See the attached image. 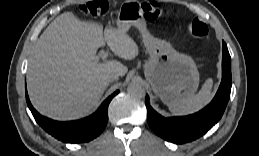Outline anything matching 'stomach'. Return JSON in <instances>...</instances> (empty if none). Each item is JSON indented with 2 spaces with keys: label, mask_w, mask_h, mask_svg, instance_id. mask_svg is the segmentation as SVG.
<instances>
[{
  "label": "stomach",
  "mask_w": 259,
  "mask_h": 156,
  "mask_svg": "<svg viewBox=\"0 0 259 156\" xmlns=\"http://www.w3.org/2000/svg\"><path fill=\"white\" fill-rule=\"evenodd\" d=\"M132 25L144 32L143 43L150 54L144 71L153 92L166 105L192 97L199 86L194 60L177 52L168 42L146 33L140 9H136L134 3L126 2L119 12L117 28L128 30Z\"/></svg>",
  "instance_id": "0dacf381"
}]
</instances>
